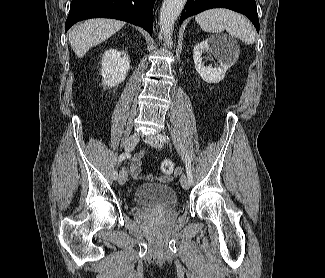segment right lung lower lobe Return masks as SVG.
<instances>
[{
  "instance_id": "98d812e1",
  "label": "right lung lower lobe",
  "mask_w": 325,
  "mask_h": 278,
  "mask_svg": "<svg viewBox=\"0 0 325 278\" xmlns=\"http://www.w3.org/2000/svg\"><path fill=\"white\" fill-rule=\"evenodd\" d=\"M154 3L155 0H72L65 31L78 21L104 17L132 23L152 34Z\"/></svg>"
}]
</instances>
